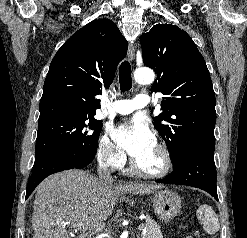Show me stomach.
Masks as SVG:
<instances>
[{"label":"stomach","mask_w":247,"mask_h":238,"mask_svg":"<svg viewBox=\"0 0 247 238\" xmlns=\"http://www.w3.org/2000/svg\"><path fill=\"white\" fill-rule=\"evenodd\" d=\"M152 200L154 211L166 223L172 220L180 211L181 199L172 191L160 190L154 194Z\"/></svg>","instance_id":"stomach-1"}]
</instances>
